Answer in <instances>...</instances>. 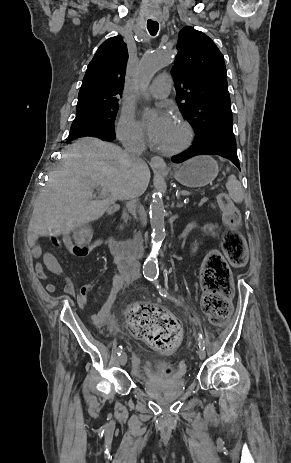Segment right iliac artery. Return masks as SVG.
Wrapping results in <instances>:
<instances>
[{
    "instance_id": "obj_1",
    "label": "right iliac artery",
    "mask_w": 291,
    "mask_h": 463,
    "mask_svg": "<svg viewBox=\"0 0 291 463\" xmlns=\"http://www.w3.org/2000/svg\"><path fill=\"white\" fill-rule=\"evenodd\" d=\"M147 279H148V280H151V278H149V277H147ZM121 352H122V346H119V347L117 348V354H118V356L121 354Z\"/></svg>"
}]
</instances>
